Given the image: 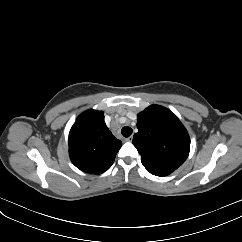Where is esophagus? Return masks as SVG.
Listing matches in <instances>:
<instances>
[{
    "label": "esophagus",
    "instance_id": "34e87169",
    "mask_svg": "<svg viewBox=\"0 0 242 242\" xmlns=\"http://www.w3.org/2000/svg\"><path fill=\"white\" fill-rule=\"evenodd\" d=\"M132 139H133V137H132V136H129L128 138L125 139V141H127V142H131Z\"/></svg>",
    "mask_w": 242,
    "mask_h": 242
}]
</instances>
